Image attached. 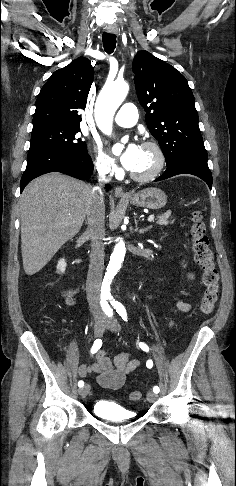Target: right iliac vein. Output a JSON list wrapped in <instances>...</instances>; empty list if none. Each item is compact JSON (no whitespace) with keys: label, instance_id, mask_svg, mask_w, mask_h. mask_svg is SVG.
Wrapping results in <instances>:
<instances>
[{"label":"right iliac vein","instance_id":"obj_1","mask_svg":"<svg viewBox=\"0 0 236 486\" xmlns=\"http://www.w3.org/2000/svg\"><path fill=\"white\" fill-rule=\"evenodd\" d=\"M106 324H107V322H106L105 319L99 318V319L95 320V323H94V336L95 337L99 338L103 335ZM89 391H90V385L86 384L85 386H83L82 388L79 389V394L82 397H85L89 393Z\"/></svg>","mask_w":236,"mask_h":486}]
</instances>
